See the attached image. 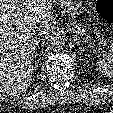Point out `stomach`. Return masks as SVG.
Masks as SVG:
<instances>
[{"label":"stomach","mask_w":113,"mask_h":113,"mask_svg":"<svg viewBox=\"0 0 113 113\" xmlns=\"http://www.w3.org/2000/svg\"><path fill=\"white\" fill-rule=\"evenodd\" d=\"M61 7L71 16H75L82 6V0H59Z\"/></svg>","instance_id":"1"}]
</instances>
